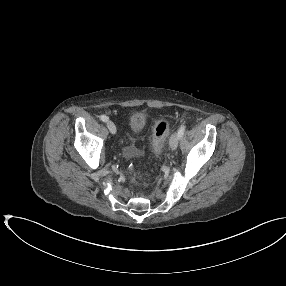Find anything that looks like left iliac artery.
<instances>
[{
	"label": "left iliac artery",
	"instance_id": "left-iliac-artery-1",
	"mask_svg": "<svg viewBox=\"0 0 286 286\" xmlns=\"http://www.w3.org/2000/svg\"><path fill=\"white\" fill-rule=\"evenodd\" d=\"M185 128H186L185 125H181V127L179 128V130H178V136H179V138H181V137L183 136V134H184V132H185Z\"/></svg>",
	"mask_w": 286,
	"mask_h": 286
}]
</instances>
